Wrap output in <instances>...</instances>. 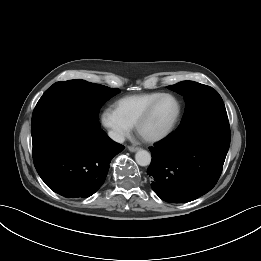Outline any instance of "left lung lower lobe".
<instances>
[{
	"label": "left lung lower lobe",
	"mask_w": 261,
	"mask_h": 261,
	"mask_svg": "<svg viewBox=\"0 0 261 261\" xmlns=\"http://www.w3.org/2000/svg\"><path fill=\"white\" fill-rule=\"evenodd\" d=\"M230 146L227 116L177 129L150 147L147 169L154 192L164 201L185 203L210 191L216 184Z\"/></svg>",
	"instance_id": "0a47b994"
}]
</instances>
